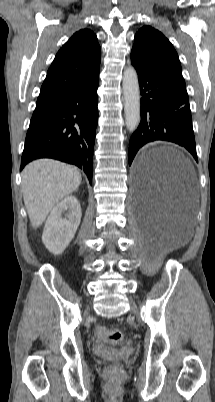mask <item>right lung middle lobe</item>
<instances>
[{
  "instance_id": "dd1d6c3e",
  "label": "right lung middle lobe",
  "mask_w": 215,
  "mask_h": 402,
  "mask_svg": "<svg viewBox=\"0 0 215 402\" xmlns=\"http://www.w3.org/2000/svg\"><path fill=\"white\" fill-rule=\"evenodd\" d=\"M47 106V104H36V108L34 110V114L43 110L45 107Z\"/></svg>"
}]
</instances>
